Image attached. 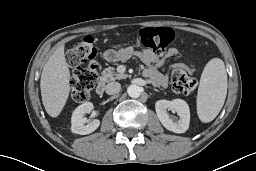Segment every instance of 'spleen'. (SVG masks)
Returning a JSON list of instances; mask_svg holds the SVG:
<instances>
[{
  "mask_svg": "<svg viewBox=\"0 0 256 171\" xmlns=\"http://www.w3.org/2000/svg\"><path fill=\"white\" fill-rule=\"evenodd\" d=\"M227 95V73L224 62L211 59L205 66L197 94V114L203 123L211 122L222 109Z\"/></svg>",
  "mask_w": 256,
  "mask_h": 171,
  "instance_id": "obj_1",
  "label": "spleen"
}]
</instances>
